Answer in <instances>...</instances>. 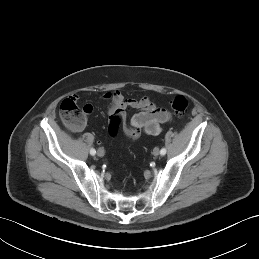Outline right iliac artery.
Listing matches in <instances>:
<instances>
[{
    "mask_svg": "<svg viewBox=\"0 0 259 259\" xmlns=\"http://www.w3.org/2000/svg\"><path fill=\"white\" fill-rule=\"evenodd\" d=\"M95 153H96L95 149H94V148H91V149H90V154H91V155H95Z\"/></svg>",
    "mask_w": 259,
    "mask_h": 259,
    "instance_id": "obj_1",
    "label": "right iliac artery"
}]
</instances>
